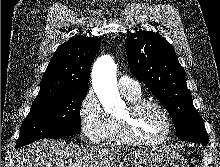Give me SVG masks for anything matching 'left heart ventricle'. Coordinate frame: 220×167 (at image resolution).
Here are the masks:
<instances>
[{"label":"left heart ventricle","instance_id":"left-heart-ventricle-1","mask_svg":"<svg viewBox=\"0 0 220 167\" xmlns=\"http://www.w3.org/2000/svg\"><path fill=\"white\" fill-rule=\"evenodd\" d=\"M127 108L120 114L124 116ZM166 120L160 110L153 106H146L136 116L134 132L138 138L154 140L164 135Z\"/></svg>","mask_w":220,"mask_h":167}]
</instances>
